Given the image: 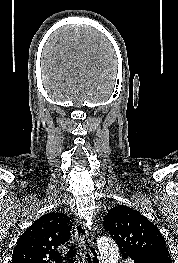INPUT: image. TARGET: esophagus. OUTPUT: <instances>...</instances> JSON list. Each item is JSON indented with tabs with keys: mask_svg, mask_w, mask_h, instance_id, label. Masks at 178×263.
<instances>
[{
	"mask_svg": "<svg viewBox=\"0 0 178 263\" xmlns=\"http://www.w3.org/2000/svg\"><path fill=\"white\" fill-rule=\"evenodd\" d=\"M75 237L79 245L83 241L89 253H81V263H100L99 253L96 248L93 246L89 239V232L82 220L78 222L75 228Z\"/></svg>",
	"mask_w": 178,
	"mask_h": 263,
	"instance_id": "esophagus-1",
	"label": "esophagus"
}]
</instances>
